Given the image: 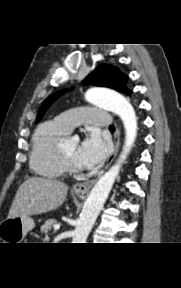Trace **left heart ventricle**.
Wrapping results in <instances>:
<instances>
[{
    "mask_svg": "<svg viewBox=\"0 0 181 288\" xmlns=\"http://www.w3.org/2000/svg\"><path fill=\"white\" fill-rule=\"evenodd\" d=\"M63 151L65 154L76 164V152L78 149V142L77 141H69L63 145Z\"/></svg>",
    "mask_w": 181,
    "mask_h": 288,
    "instance_id": "1",
    "label": "left heart ventricle"
}]
</instances>
